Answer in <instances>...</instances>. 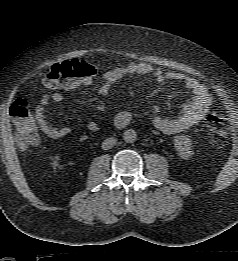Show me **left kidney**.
<instances>
[{
  "label": "left kidney",
  "mask_w": 238,
  "mask_h": 261,
  "mask_svg": "<svg viewBox=\"0 0 238 261\" xmlns=\"http://www.w3.org/2000/svg\"><path fill=\"white\" fill-rule=\"evenodd\" d=\"M174 145L178 155L184 159L188 160L192 154V142L188 136L179 135L174 138Z\"/></svg>",
  "instance_id": "5707ae66"
}]
</instances>
